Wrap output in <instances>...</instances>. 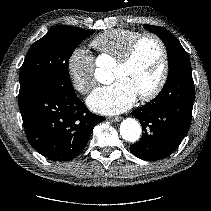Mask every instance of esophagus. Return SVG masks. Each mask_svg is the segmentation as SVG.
Returning <instances> with one entry per match:
<instances>
[{
  "label": "esophagus",
  "mask_w": 211,
  "mask_h": 211,
  "mask_svg": "<svg viewBox=\"0 0 211 211\" xmlns=\"http://www.w3.org/2000/svg\"><path fill=\"white\" fill-rule=\"evenodd\" d=\"M121 117L117 116V117H109L108 120L111 122H119L121 121Z\"/></svg>",
  "instance_id": "1"
}]
</instances>
